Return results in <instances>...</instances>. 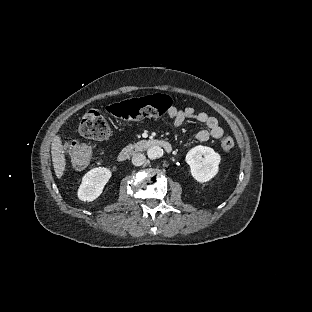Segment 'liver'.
Instances as JSON below:
<instances>
[{"instance_id": "1", "label": "liver", "mask_w": 312, "mask_h": 312, "mask_svg": "<svg viewBox=\"0 0 312 312\" xmlns=\"http://www.w3.org/2000/svg\"><path fill=\"white\" fill-rule=\"evenodd\" d=\"M51 154H52V161H53L55 174L57 178L60 179L64 173L66 161H65L63 146H62L61 139L59 136H55L53 138V141L51 144Z\"/></svg>"}]
</instances>
